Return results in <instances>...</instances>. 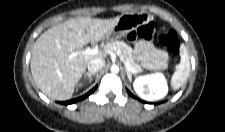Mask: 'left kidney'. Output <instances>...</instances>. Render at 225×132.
Masks as SVG:
<instances>
[{
  "label": "left kidney",
  "mask_w": 225,
  "mask_h": 132,
  "mask_svg": "<svg viewBox=\"0 0 225 132\" xmlns=\"http://www.w3.org/2000/svg\"><path fill=\"white\" fill-rule=\"evenodd\" d=\"M133 87L139 97L147 101L159 100L168 92L167 81L162 73L139 76Z\"/></svg>",
  "instance_id": "obj_1"
}]
</instances>
